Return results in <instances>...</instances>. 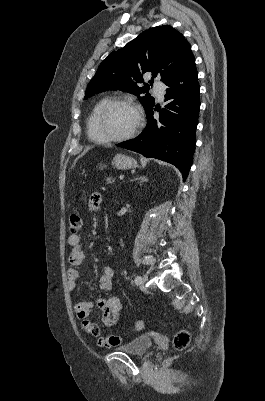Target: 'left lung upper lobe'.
Listing matches in <instances>:
<instances>
[{"instance_id":"5c2ea615","label":"left lung upper lobe","mask_w":265,"mask_h":401,"mask_svg":"<svg viewBox=\"0 0 265 401\" xmlns=\"http://www.w3.org/2000/svg\"><path fill=\"white\" fill-rule=\"evenodd\" d=\"M192 56L191 46L184 36L171 26H158L142 32L124 48L114 51L101 63L90 81L84 99L106 90H121L138 96L145 111L152 109L154 98L146 94L143 74L151 73L169 82Z\"/></svg>"}]
</instances>
